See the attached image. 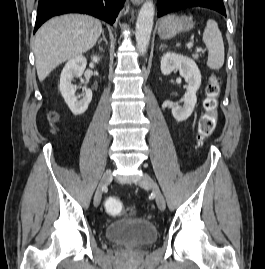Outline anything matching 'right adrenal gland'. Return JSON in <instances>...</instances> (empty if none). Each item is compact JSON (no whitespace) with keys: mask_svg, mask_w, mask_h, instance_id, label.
Listing matches in <instances>:
<instances>
[{"mask_svg":"<svg viewBox=\"0 0 265 269\" xmlns=\"http://www.w3.org/2000/svg\"><path fill=\"white\" fill-rule=\"evenodd\" d=\"M102 41H104L105 44L108 45V41H107V39H106V37H105L104 31H102V38H100V39L98 40V44L100 45V43H101Z\"/></svg>","mask_w":265,"mask_h":269,"instance_id":"2a0ac1e0","label":"right adrenal gland"}]
</instances>
